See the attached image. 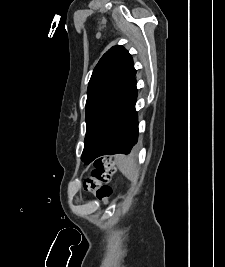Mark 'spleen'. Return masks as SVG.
<instances>
[{
	"label": "spleen",
	"instance_id": "1",
	"mask_svg": "<svg viewBox=\"0 0 225 267\" xmlns=\"http://www.w3.org/2000/svg\"><path fill=\"white\" fill-rule=\"evenodd\" d=\"M115 162L120 172L130 181L136 182L139 177V172L136 168L133 158L124 155H117Z\"/></svg>",
	"mask_w": 225,
	"mask_h": 267
}]
</instances>
